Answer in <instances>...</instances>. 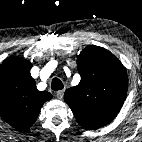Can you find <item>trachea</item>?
Here are the masks:
<instances>
[{"mask_svg":"<svg viewBox=\"0 0 142 142\" xmlns=\"http://www.w3.org/2000/svg\"><path fill=\"white\" fill-rule=\"evenodd\" d=\"M51 88L52 90H61L64 88V85L59 78H53Z\"/></svg>","mask_w":142,"mask_h":142,"instance_id":"trachea-1","label":"trachea"}]
</instances>
